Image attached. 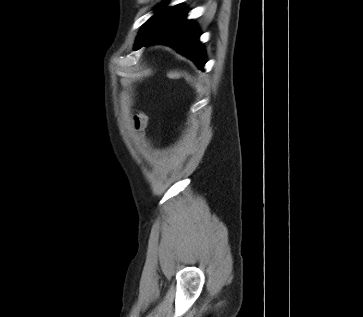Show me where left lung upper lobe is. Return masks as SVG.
<instances>
[{"label":"left lung upper lobe","instance_id":"obj_1","mask_svg":"<svg viewBox=\"0 0 363 317\" xmlns=\"http://www.w3.org/2000/svg\"><path fill=\"white\" fill-rule=\"evenodd\" d=\"M151 21V18L144 24V26L142 27L139 37L137 38V40L144 34V32L146 31V29L148 28V25Z\"/></svg>","mask_w":363,"mask_h":317}]
</instances>
